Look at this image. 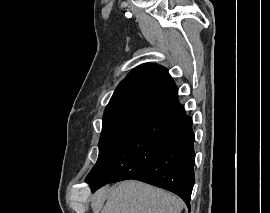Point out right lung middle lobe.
<instances>
[{"instance_id": "1", "label": "right lung middle lobe", "mask_w": 270, "mask_h": 213, "mask_svg": "<svg viewBox=\"0 0 270 213\" xmlns=\"http://www.w3.org/2000/svg\"><path fill=\"white\" fill-rule=\"evenodd\" d=\"M155 105L138 103L126 105L104 113L99 156L86 181L94 178L116 155L143 119Z\"/></svg>"}]
</instances>
